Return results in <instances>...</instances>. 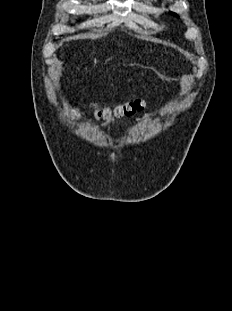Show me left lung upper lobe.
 Listing matches in <instances>:
<instances>
[{
    "mask_svg": "<svg viewBox=\"0 0 232 311\" xmlns=\"http://www.w3.org/2000/svg\"><path fill=\"white\" fill-rule=\"evenodd\" d=\"M173 15H175V16H177V14L176 13H173V12H171Z\"/></svg>",
    "mask_w": 232,
    "mask_h": 311,
    "instance_id": "5c2ea615",
    "label": "left lung upper lobe"
}]
</instances>
